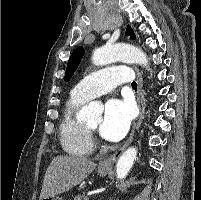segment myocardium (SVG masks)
<instances>
[{
	"mask_svg": "<svg viewBox=\"0 0 201 200\" xmlns=\"http://www.w3.org/2000/svg\"><path fill=\"white\" fill-rule=\"evenodd\" d=\"M87 131L89 132L90 136H93L95 134V129L89 127L88 125H86Z\"/></svg>",
	"mask_w": 201,
	"mask_h": 200,
	"instance_id": "myocardium-1",
	"label": "myocardium"
}]
</instances>
